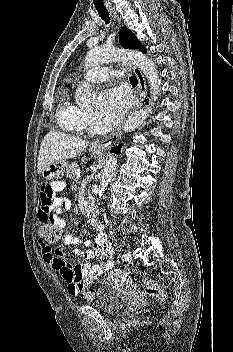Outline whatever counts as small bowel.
<instances>
[{"label":"small bowel","mask_w":233,"mask_h":352,"mask_svg":"<svg viewBox=\"0 0 233 352\" xmlns=\"http://www.w3.org/2000/svg\"><path fill=\"white\" fill-rule=\"evenodd\" d=\"M65 187L64 181L44 184L39 194L38 219L41 223H49L65 231L69 224V218L63 216L70 208V202L64 197L57 196ZM93 241L83 240L77 236L67 233L63 243L52 249L49 245L40 242L43 259L53 269L58 270L67 283V290L71 295H77L83 288L90 286L94 280L104 272L113 268L112 250L106 243V237L102 233L101 226ZM64 245H81L88 249L85 257L94 260L93 263L73 265L64 254ZM78 253V250H75Z\"/></svg>","instance_id":"obj_1"}]
</instances>
